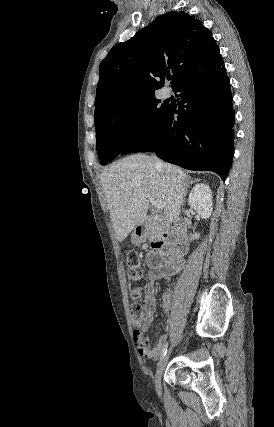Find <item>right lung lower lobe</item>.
<instances>
[{"label":"right lung lower lobe","mask_w":274,"mask_h":427,"mask_svg":"<svg viewBox=\"0 0 274 427\" xmlns=\"http://www.w3.org/2000/svg\"><path fill=\"white\" fill-rule=\"evenodd\" d=\"M173 91L180 93L178 110L168 106L145 137L120 153L154 151L167 162L213 171L225 181L234 153V111L225 67L190 76Z\"/></svg>","instance_id":"98d812e1"}]
</instances>
